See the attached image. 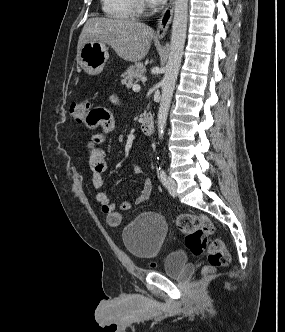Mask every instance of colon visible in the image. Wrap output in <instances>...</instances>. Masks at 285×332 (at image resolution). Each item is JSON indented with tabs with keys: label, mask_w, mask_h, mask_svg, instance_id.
<instances>
[{
	"label": "colon",
	"mask_w": 285,
	"mask_h": 332,
	"mask_svg": "<svg viewBox=\"0 0 285 332\" xmlns=\"http://www.w3.org/2000/svg\"><path fill=\"white\" fill-rule=\"evenodd\" d=\"M86 111H91V106L86 101H77L70 106V115L79 124H83V122H80V115H85ZM176 224L185 236L187 248L193 254L201 255L207 252L208 264L204 267L205 273L229 263L230 254L225 243L220 239L208 240V237L214 231V227L207 216L182 214L177 218Z\"/></svg>",
	"instance_id": "1"
}]
</instances>
